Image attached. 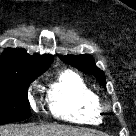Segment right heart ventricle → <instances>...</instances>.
<instances>
[{
  "label": "right heart ventricle",
  "instance_id": "e07e8e85",
  "mask_svg": "<svg viewBox=\"0 0 136 136\" xmlns=\"http://www.w3.org/2000/svg\"><path fill=\"white\" fill-rule=\"evenodd\" d=\"M49 108L56 117L78 124L101 120L100 98L78 73L66 70L51 84Z\"/></svg>",
  "mask_w": 136,
  "mask_h": 136
}]
</instances>
